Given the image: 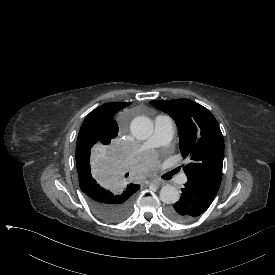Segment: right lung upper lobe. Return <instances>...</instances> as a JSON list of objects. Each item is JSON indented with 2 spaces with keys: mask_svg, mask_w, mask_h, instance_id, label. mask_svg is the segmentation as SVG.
I'll return each mask as SVG.
<instances>
[{
  "mask_svg": "<svg viewBox=\"0 0 275 275\" xmlns=\"http://www.w3.org/2000/svg\"><path fill=\"white\" fill-rule=\"evenodd\" d=\"M130 104V102H111L99 106L85 118L79 131L80 135L90 137L94 143L108 145L118 133V125L114 120V115ZM139 189L140 185L131 183L123 192L135 193Z\"/></svg>",
  "mask_w": 275,
  "mask_h": 275,
  "instance_id": "right-lung-upper-lobe-1",
  "label": "right lung upper lobe"
}]
</instances>
